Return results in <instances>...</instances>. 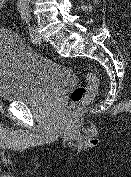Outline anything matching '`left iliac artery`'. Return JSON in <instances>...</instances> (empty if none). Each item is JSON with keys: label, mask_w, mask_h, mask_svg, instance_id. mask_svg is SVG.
I'll list each match as a JSON object with an SVG mask.
<instances>
[{"label": "left iliac artery", "mask_w": 131, "mask_h": 177, "mask_svg": "<svg viewBox=\"0 0 131 177\" xmlns=\"http://www.w3.org/2000/svg\"><path fill=\"white\" fill-rule=\"evenodd\" d=\"M20 12L22 19L27 24L30 40L33 44H36L37 41L36 34L34 28L30 25L31 20L30 11L28 8H24L23 10H20Z\"/></svg>", "instance_id": "obj_1"}]
</instances>
